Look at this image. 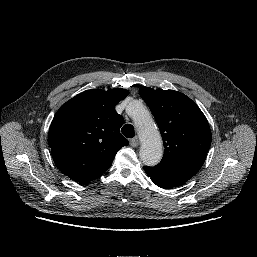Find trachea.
Masks as SVG:
<instances>
[{
	"mask_svg": "<svg viewBox=\"0 0 257 257\" xmlns=\"http://www.w3.org/2000/svg\"><path fill=\"white\" fill-rule=\"evenodd\" d=\"M123 135L127 138H133L134 137V127L131 124H126L121 129Z\"/></svg>",
	"mask_w": 257,
	"mask_h": 257,
	"instance_id": "3493384b",
	"label": "trachea"
}]
</instances>
